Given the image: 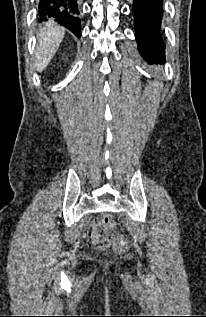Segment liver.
Returning <instances> with one entry per match:
<instances>
[{"mask_svg":"<svg viewBox=\"0 0 206 317\" xmlns=\"http://www.w3.org/2000/svg\"><path fill=\"white\" fill-rule=\"evenodd\" d=\"M65 34V29L53 21L44 24L38 33L35 68L43 71L54 57Z\"/></svg>","mask_w":206,"mask_h":317,"instance_id":"liver-1","label":"liver"}]
</instances>
